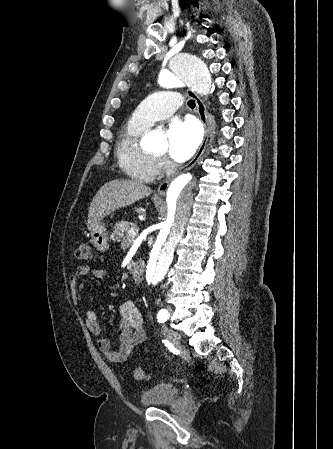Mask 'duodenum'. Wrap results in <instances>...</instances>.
<instances>
[{"mask_svg": "<svg viewBox=\"0 0 333 449\" xmlns=\"http://www.w3.org/2000/svg\"><path fill=\"white\" fill-rule=\"evenodd\" d=\"M143 271H144V265L140 262L135 263L131 266L130 268V273L133 277V280L135 282H140L142 279V275H143Z\"/></svg>", "mask_w": 333, "mask_h": 449, "instance_id": "1", "label": "duodenum"}]
</instances>
